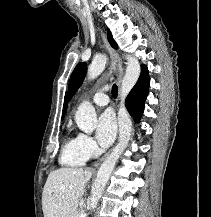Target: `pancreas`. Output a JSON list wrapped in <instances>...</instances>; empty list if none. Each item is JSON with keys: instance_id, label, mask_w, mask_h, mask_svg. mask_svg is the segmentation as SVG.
Masks as SVG:
<instances>
[{"instance_id": "cf45deb5", "label": "pancreas", "mask_w": 211, "mask_h": 217, "mask_svg": "<svg viewBox=\"0 0 211 217\" xmlns=\"http://www.w3.org/2000/svg\"><path fill=\"white\" fill-rule=\"evenodd\" d=\"M79 215H80V210H76V212L74 213L72 217H79Z\"/></svg>"}]
</instances>
